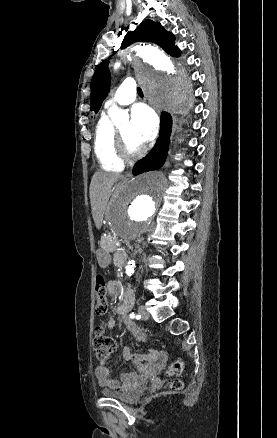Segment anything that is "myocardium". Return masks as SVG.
<instances>
[{
	"label": "myocardium",
	"mask_w": 277,
	"mask_h": 438,
	"mask_svg": "<svg viewBox=\"0 0 277 438\" xmlns=\"http://www.w3.org/2000/svg\"><path fill=\"white\" fill-rule=\"evenodd\" d=\"M112 142L117 155L123 162H130L133 159H136L141 153H131L128 150L124 137L119 133L117 129L113 130Z\"/></svg>",
	"instance_id": "obj_1"
}]
</instances>
